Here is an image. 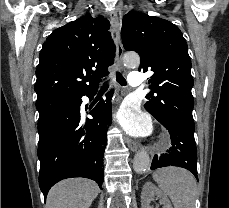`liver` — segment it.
Wrapping results in <instances>:
<instances>
[{
  "label": "liver",
  "instance_id": "obj_1",
  "mask_svg": "<svg viewBox=\"0 0 229 208\" xmlns=\"http://www.w3.org/2000/svg\"><path fill=\"white\" fill-rule=\"evenodd\" d=\"M100 190L92 180H63L51 188L47 208H90Z\"/></svg>",
  "mask_w": 229,
  "mask_h": 208
}]
</instances>
